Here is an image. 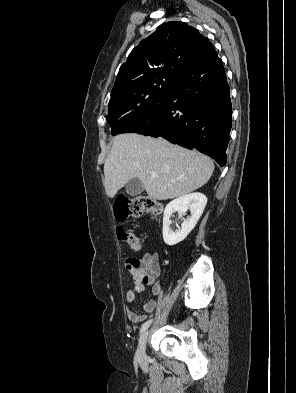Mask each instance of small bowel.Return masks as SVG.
<instances>
[{"label": "small bowel", "mask_w": 296, "mask_h": 393, "mask_svg": "<svg viewBox=\"0 0 296 393\" xmlns=\"http://www.w3.org/2000/svg\"><path fill=\"white\" fill-rule=\"evenodd\" d=\"M125 265L134 284V287L126 293V302L128 304L127 315L131 322L141 323L147 318L146 314L152 313L156 309L157 302L155 300L147 301L143 305V314H137L132 305L135 302L136 294L143 292L146 285L152 286V293L154 295L161 293V286L155 283V279L160 273L158 255L152 252L144 253L140 258L129 257Z\"/></svg>", "instance_id": "small-bowel-1"}]
</instances>
